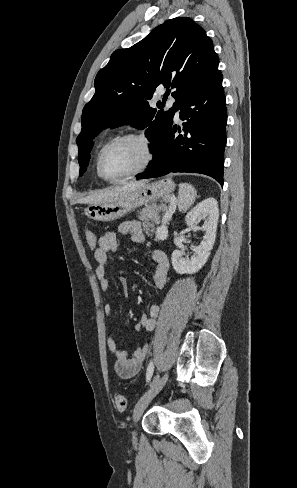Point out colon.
Returning a JSON list of instances; mask_svg holds the SVG:
<instances>
[{
	"label": "colon",
	"mask_w": 297,
	"mask_h": 488,
	"mask_svg": "<svg viewBox=\"0 0 297 488\" xmlns=\"http://www.w3.org/2000/svg\"><path fill=\"white\" fill-rule=\"evenodd\" d=\"M86 242L90 250L95 251L98 246V239L94 232L87 230L85 233ZM115 406L118 410L123 411L127 407V397L122 392H117L114 397Z\"/></svg>",
	"instance_id": "colon-1"
}]
</instances>
